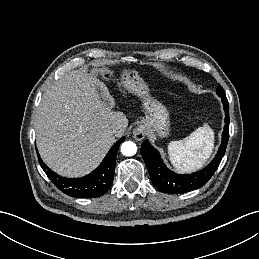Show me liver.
I'll return each instance as SVG.
<instances>
[{"label": "liver", "instance_id": "1", "mask_svg": "<svg viewBox=\"0 0 259 259\" xmlns=\"http://www.w3.org/2000/svg\"><path fill=\"white\" fill-rule=\"evenodd\" d=\"M106 85L86 70H73L48 89L34 117L36 141L43 161L56 173L79 177L103 160L128 119L114 111ZM118 124L122 133L114 135Z\"/></svg>", "mask_w": 259, "mask_h": 259}]
</instances>
